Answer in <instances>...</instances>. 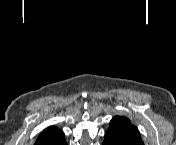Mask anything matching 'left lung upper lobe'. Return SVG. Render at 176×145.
Wrapping results in <instances>:
<instances>
[{
	"mask_svg": "<svg viewBox=\"0 0 176 145\" xmlns=\"http://www.w3.org/2000/svg\"><path fill=\"white\" fill-rule=\"evenodd\" d=\"M105 134L112 136L122 145H144L137 127L124 116L113 117Z\"/></svg>",
	"mask_w": 176,
	"mask_h": 145,
	"instance_id": "left-lung-upper-lobe-1",
	"label": "left lung upper lobe"
}]
</instances>
